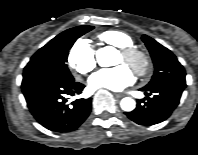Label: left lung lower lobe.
<instances>
[{
    "instance_id": "left-lung-lower-lobe-1",
    "label": "left lung lower lobe",
    "mask_w": 198,
    "mask_h": 155,
    "mask_svg": "<svg viewBox=\"0 0 198 155\" xmlns=\"http://www.w3.org/2000/svg\"><path fill=\"white\" fill-rule=\"evenodd\" d=\"M185 87L186 83L170 82L152 88H141L147 97L138 100L137 108L126 115L140 125L158 124L166 120L178 106Z\"/></svg>"
}]
</instances>
